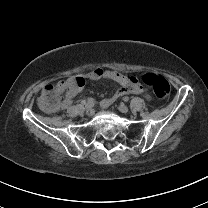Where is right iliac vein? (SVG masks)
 Segmentation results:
<instances>
[{
  "mask_svg": "<svg viewBox=\"0 0 208 208\" xmlns=\"http://www.w3.org/2000/svg\"><path fill=\"white\" fill-rule=\"evenodd\" d=\"M92 108H93V104L87 103L85 105V110L87 113H90L92 111Z\"/></svg>",
  "mask_w": 208,
  "mask_h": 208,
  "instance_id": "obj_1",
  "label": "right iliac vein"
}]
</instances>
